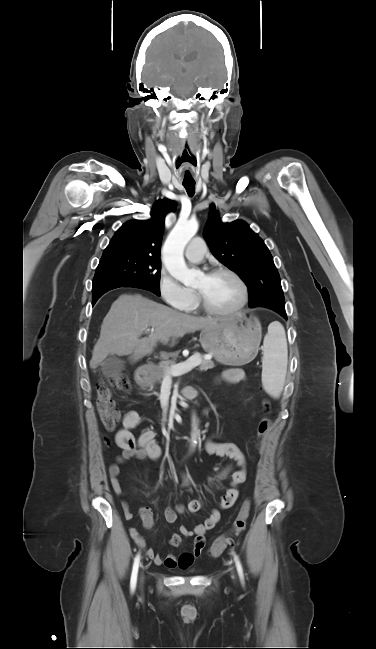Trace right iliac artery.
<instances>
[{
	"instance_id": "82829eb1",
	"label": "right iliac artery",
	"mask_w": 376,
	"mask_h": 649,
	"mask_svg": "<svg viewBox=\"0 0 376 649\" xmlns=\"http://www.w3.org/2000/svg\"><path fill=\"white\" fill-rule=\"evenodd\" d=\"M139 562H140V555L138 554L135 557L134 564H133V569H132V574H131V581H130V586L131 590L134 591L137 583V575H138V569H139Z\"/></svg>"
}]
</instances>
